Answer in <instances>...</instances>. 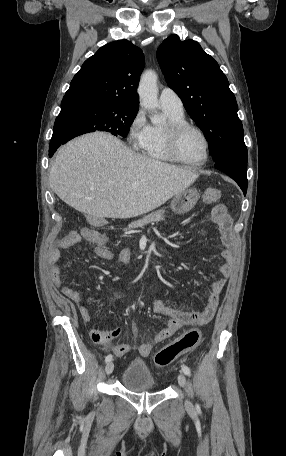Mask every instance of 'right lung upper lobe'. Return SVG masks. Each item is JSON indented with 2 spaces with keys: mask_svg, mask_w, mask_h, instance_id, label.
<instances>
[{
  "mask_svg": "<svg viewBox=\"0 0 286 456\" xmlns=\"http://www.w3.org/2000/svg\"><path fill=\"white\" fill-rule=\"evenodd\" d=\"M144 55L128 40L111 42L88 58L65 94L138 107L137 85Z\"/></svg>",
  "mask_w": 286,
  "mask_h": 456,
  "instance_id": "obj_1",
  "label": "right lung upper lobe"
}]
</instances>
